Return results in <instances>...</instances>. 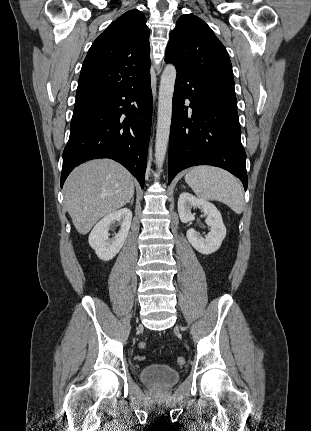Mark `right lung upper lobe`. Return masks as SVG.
Masks as SVG:
<instances>
[{
    "mask_svg": "<svg viewBox=\"0 0 311 431\" xmlns=\"http://www.w3.org/2000/svg\"><path fill=\"white\" fill-rule=\"evenodd\" d=\"M137 9L112 22L83 62L76 97L134 82L150 70L149 29Z\"/></svg>",
    "mask_w": 311,
    "mask_h": 431,
    "instance_id": "cb5924a9",
    "label": "right lung upper lobe"
}]
</instances>
